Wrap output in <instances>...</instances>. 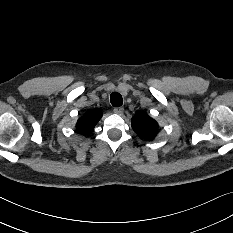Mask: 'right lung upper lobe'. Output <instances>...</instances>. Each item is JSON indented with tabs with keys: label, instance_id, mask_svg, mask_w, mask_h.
Masks as SVG:
<instances>
[{
	"label": "right lung upper lobe",
	"instance_id": "right-lung-upper-lobe-1",
	"mask_svg": "<svg viewBox=\"0 0 233 233\" xmlns=\"http://www.w3.org/2000/svg\"><path fill=\"white\" fill-rule=\"evenodd\" d=\"M101 117L102 113L100 111L89 110L78 120L76 128L80 132L89 133L94 129Z\"/></svg>",
	"mask_w": 233,
	"mask_h": 233
}]
</instances>
